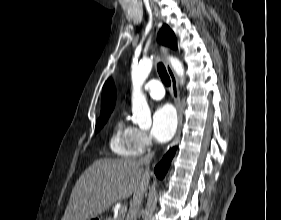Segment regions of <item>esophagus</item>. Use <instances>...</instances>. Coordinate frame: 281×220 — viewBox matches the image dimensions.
Listing matches in <instances>:
<instances>
[{
	"instance_id": "obj_1",
	"label": "esophagus",
	"mask_w": 281,
	"mask_h": 220,
	"mask_svg": "<svg viewBox=\"0 0 281 220\" xmlns=\"http://www.w3.org/2000/svg\"><path fill=\"white\" fill-rule=\"evenodd\" d=\"M160 50L163 53V55L165 56L169 55V49L164 45H160ZM165 67L171 80V93L174 98V102L178 113V128L173 141L167 147V150H169L173 146L177 145V143L180 140L181 128H182V108H181L180 92H179L177 77L168 61L165 62Z\"/></svg>"
}]
</instances>
